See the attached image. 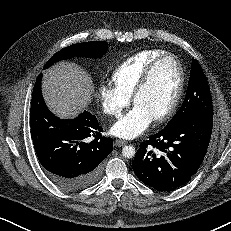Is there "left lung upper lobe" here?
I'll use <instances>...</instances> for the list:
<instances>
[{
  "label": "left lung upper lobe",
  "instance_id": "5c2ea615",
  "mask_svg": "<svg viewBox=\"0 0 231 231\" xmlns=\"http://www.w3.org/2000/svg\"><path fill=\"white\" fill-rule=\"evenodd\" d=\"M191 115L213 117L209 85L200 64L194 59L192 61L186 97L182 106L167 126Z\"/></svg>",
  "mask_w": 231,
  "mask_h": 231
}]
</instances>
